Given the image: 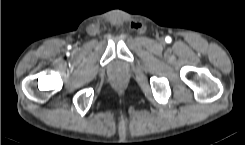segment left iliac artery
I'll list each match as a JSON object with an SVG mask.
<instances>
[{"mask_svg": "<svg viewBox=\"0 0 245 145\" xmlns=\"http://www.w3.org/2000/svg\"><path fill=\"white\" fill-rule=\"evenodd\" d=\"M170 40V37H166V41Z\"/></svg>", "mask_w": 245, "mask_h": 145, "instance_id": "1", "label": "left iliac artery"}]
</instances>
